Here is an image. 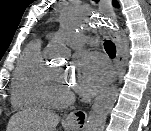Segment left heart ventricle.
I'll list each match as a JSON object with an SVG mask.
<instances>
[{"instance_id": "left-heart-ventricle-1", "label": "left heart ventricle", "mask_w": 151, "mask_h": 131, "mask_svg": "<svg viewBox=\"0 0 151 131\" xmlns=\"http://www.w3.org/2000/svg\"><path fill=\"white\" fill-rule=\"evenodd\" d=\"M49 86L51 93L55 96L71 92L62 67H54V75Z\"/></svg>"}]
</instances>
